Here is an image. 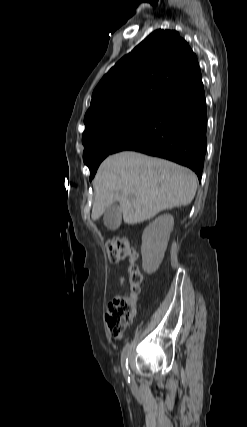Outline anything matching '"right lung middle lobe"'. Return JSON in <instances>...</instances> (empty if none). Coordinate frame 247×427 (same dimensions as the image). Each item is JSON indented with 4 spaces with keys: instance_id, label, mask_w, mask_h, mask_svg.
Listing matches in <instances>:
<instances>
[{
    "instance_id": "right-lung-middle-lobe-1",
    "label": "right lung middle lobe",
    "mask_w": 247,
    "mask_h": 427,
    "mask_svg": "<svg viewBox=\"0 0 247 427\" xmlns=\"http://www.w3.org/2000/svg\"><path fill=\"white\" fill-rule=\"evenodd\" d=\"M157 106H135L114 112L91 123L82 136L83 160L93 179L104 158L139 130Z\"/></svg>"
}]
</instances>
